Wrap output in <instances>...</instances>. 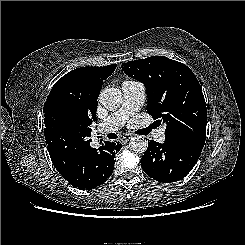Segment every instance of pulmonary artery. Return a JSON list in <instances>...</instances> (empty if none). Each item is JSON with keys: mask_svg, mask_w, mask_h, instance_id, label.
Segmentation results:
<instances>
[{"mask_svg": "<svg viewBox=\"0 0 245 245\" xmlns=\"http://www.w3.org/2000/svg\"><path fill=\"white\" fill-rule=\"evenodd\" d=\"M123 102L121 107L107 116L100 124L98 131L102 134L112 133L121 128L127 119L136 113L143 105L145 99V87L141 82L126 80L121 86ZM165 128L155 131L153 138L157 142L164 141Z\"/></svg>", "mask_w": 245, "mask_h": 245, "instance_id": "e3ab8cb5", "label": "pulmonary artery"}]
</instances>
